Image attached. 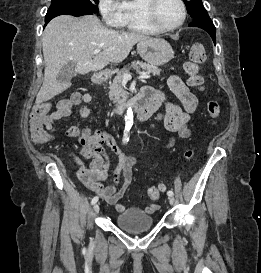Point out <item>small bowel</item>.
Masks as SVG:
<instances>
[{
	"mask_svg": "<svg viewBox=\"0 0 261 273\" xmlns=\"http://www.w3.org/2000/svg\"><path fill=\"white\" fill-rule=\"evenodd\" d=\"M166 84L177 98L178 103L170 101L163 92L155 91L151 86H145L143 89H147L152 95L156 109L161 105L166 108L165 113H158L155 116V121H162L166 129L172 133V137L167 144V147L171 148L175 144V134L182 138L191 136V130L188 128L187 123L198 106V99L179 76H170ZM91 100L92 96L89 93L75 94L69 101H62L60 104L63 103L70 110L73 105H78L81 102L89 103ZM80 114L82 118H88L89 110L82 107ZM63 117L59 112V107L53 110L45 120L46 129L51 132L54 131L55 121ZM153 127L154 125H152ZM67 134L76 138L82 146L78 154L74 156V160L79 166L78 176L80 181L108 204L113 205L117 212H124L125 207L119 203V200L131 185L132 167L138 160L134 156L125 154L118 146L115 138L100 128L80 129L71 126L68 128ZM105 146L118 158V164L113 172V184L108 186L102 184V181L108 178L110 168V157ZM88 159L91 160V163L86 167L84 162ZM121 177L123 178L122 184H120ZM158 209L159 206L156 204L145 208L148 213Z\"/></svg>",
	"mask_w": 261,
	"mask_h": 273,
	"instance_id": "c3829d8e",
	"label": "small bowel"
}]
</instances>
